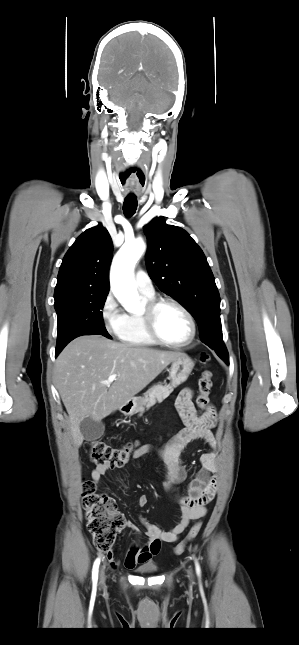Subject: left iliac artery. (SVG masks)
I'll list each match as a JSON object with an SVG mask.
<instances>
[{"instance_id": "44dca946", "label": "left iliac artery", "mask_w": 299, "mask_h": 645, "mask_svg": "<svg viewBox=\"0 0 299 645\" xmlns=\"http://www.w3.org/2000/svg\"><path fill=\"white\" fill-rule=\"evenodd\" d=\"M195 565H196V572H197L198 576H200V566H199V564H198V562L196 560H195Z\"/></svg>"}]
</instances>
